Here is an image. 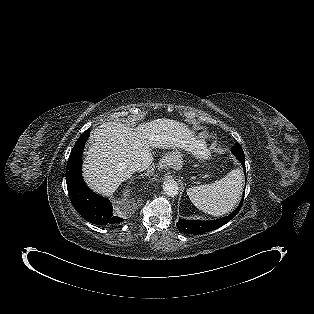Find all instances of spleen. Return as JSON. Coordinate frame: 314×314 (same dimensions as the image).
Instances as JSON below:
<instances>
[{"instance_id":"3e777b00","label":"spleen","mask_w":314,"mask_h":314,"mask_svg":"<svg viewBox=\"0 0 314 314\" xmlns=\"http://www.w3.org/2000/svg\"><path fill=\"white\" fill-rule=\"evenodd\" d=\"M243 175L234 169L220 180L187 189L191 202L199 210L212 216H221L233 210L241 196Z\"/></svg>"}]
</instances>
